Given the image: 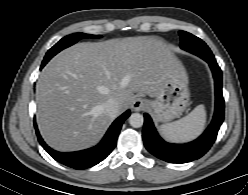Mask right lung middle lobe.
<instances>
[{
	"label": "right lung middle lobe",
	"mask_w": 248,
	"mask_h": 195,
	"mask_svg": "<svg viewBox=\"0 0 248 195\" xmlns=\"http://www.w3.org/2000/svg\"><path fill=\"white\" fill-rule=\"evenodd\" d=\"M100 35H90L84 33H75L62 38L56 45H54L45 55L42 63H47L54 55L61 50L75 44L77 41L86 38H99Z\"/></svg>",
	"instance_id": "1"
}]
</instances>
